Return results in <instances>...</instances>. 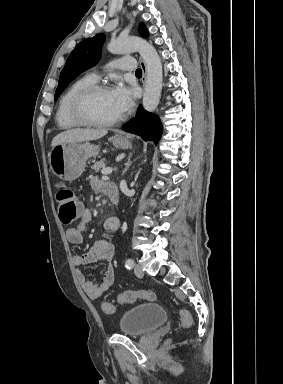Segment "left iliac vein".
Masks as SVG:
<instances>
[{"label": "left iliac vein", "mask_w": 283, "mask_h": 384, "mask_svg": "<svg viewBox=\"0 0 283 384\" xmlns=\"http://www.w3.org/2000/svg\"><path fill=\"white\" fill-rule=\"evenodd\" d=\"M134 273H135V275L137 276V277H143V275H144V272H143V270H142V267L140 266V265H138V264H136L135 265V268H134Z\"/></svg>", "instance_id": "4c4485c4"}]
</instances>
